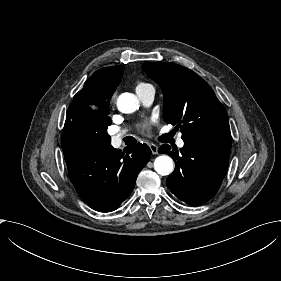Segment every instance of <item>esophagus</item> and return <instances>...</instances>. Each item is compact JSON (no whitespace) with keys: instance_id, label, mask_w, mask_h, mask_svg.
<instances>
[{"instance_id":"34e87169","label":"esophagus","mask_w":281,"mask_h":281,"mask_svg":"<svg viewBox=\"0 0 281 281\" xmlns=\"http://www.w3.org/2000/svg\"><path fill=\"white\" fill-rule=\"evenodd\" d=\"M148 145H149V147H150V149H151L153 154H157L158 153V147L155 144L149 143Z\"/></svg>"}]
</instances>
